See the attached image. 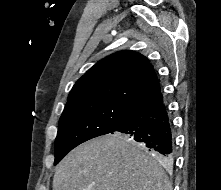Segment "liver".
Segmentation results:
<instances>
[{
	"label": "liver",
	"instance_id": "6515ba94",
	"mask_svg": "<svg viewBox=\"0 0 221 190\" xmlns=\"http://www.w3.org/2000/svg\"><path fill=\"white\" fill-rule=\"evenodd\" d=\"M120 133L85 142L55 168L52 190H172L162 163Z\"/></svg>",
	"mask_w": 221,
	"mask_h": 190
}]
</instances>
